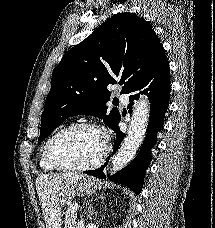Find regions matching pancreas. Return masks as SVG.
<instances>
[{
    "label": "pancreas",
    "instance_id": "obj_1",
    "mask_svg": "<svg viewBox=\"0 0 215 228\" xmlns=\"http://www.w3.org/2000/svg\"><path fill=\"white\" fill-rule=\"evenodd\" d=\"M77 214L72 208H67L65 212V228H75L77 222Z\"/></svg>",
    "mask_w": 215,
    "mask_h": 228
}]
</instances>
